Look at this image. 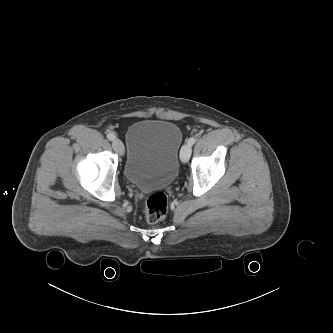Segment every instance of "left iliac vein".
<instances>
[{
	"mask_svg": "<svg viewBox=\"0 0 333 333\" xmlns=\"http://www.w3.org/2000/svg\"><path fill=\"white\" fill-rule=\"evenodd\" d=\"M192 152V147L190 144H184L180 150V159L183 163L188 162Z\"/></svg>",
	"mask_w": 333,
	"mask_h": 333,
	"instance_id": "obj_1",
	"label": "left iliac vein"
}]
</instances>
